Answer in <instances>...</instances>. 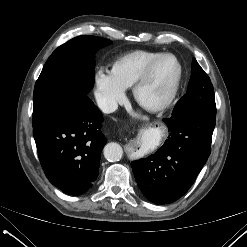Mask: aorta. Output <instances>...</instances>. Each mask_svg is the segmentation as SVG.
Here are the masks:
<instances>
[{
    "label": "aorta",
    "instance_id": "762f6f07",
    "mask_svg": "<svg viewBox=\"0 0 247 247\" xmlns=\"http://www.w3.org/2000/svg\"><path fill=\"white\" fill-rule=\"evenodd\" d=\"M123 156V149L118 143H108L104 147V157L110 162L119 161Z\"/></svg>",
    "mask_w": 247,
    "mask_h": 247
}]
</instances>
